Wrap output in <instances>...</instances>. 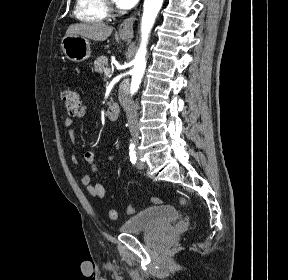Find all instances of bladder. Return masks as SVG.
I'll list each match as a JSON object with an SVG mask.
<instances>
[{"label":"bladder","instance_id":"31cf9c89","mask_svg":"<svg viewBox=\"0 0 288 280\" xmlns=\"http://www.w3.org/2000/svg\"><path fill=\"white\" fill-rule=\"evenodd\" d=\"M179 218L180 212L173 206H152L124 221L119 231L125 234L158 231L171 226Z\"/></svg>","mask_w":288,"mask_h":280}]
</instances>
